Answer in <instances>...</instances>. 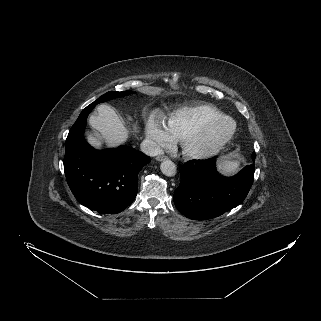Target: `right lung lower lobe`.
I'll list each match as a JSON object with an SVG mask.
<instances>
[{
	"label": "right lung lower lobe",
	"instance_id": "right-lung-lower-lobe-1",
	"mask_svg": "<svg viewBox=\"0 0 321 321\" xmlns=\"http://www.w3.org/2000/svg\"><path fill=\"white\" fill-rule=\"evenodd\" d=\"M92 109L87 106L69 131L64 171L72 193L82 205L99 213L115 214L135 199L138 173L150 158L127 146L91 148L83 133Z\"/></svg>",
	"mask_w": 321,
	"mask_h": 321
}]
</instances>
